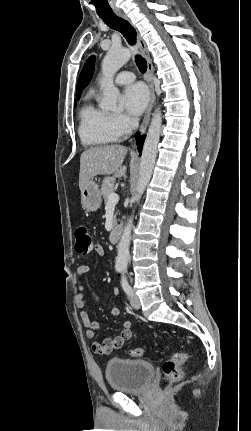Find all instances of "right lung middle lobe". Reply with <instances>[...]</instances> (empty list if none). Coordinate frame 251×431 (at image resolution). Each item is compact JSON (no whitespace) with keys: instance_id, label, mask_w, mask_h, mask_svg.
Masks as SVG:
<instances>
[{"instance_id":"dd1d6c3e","label":"right lung middle lobe","mask_w":251,"mask_h":431,"mask_svg":"<svg viewBox=\"0 0 251 431\" xmlns=\"http://www.w3.org/2000/svg\"><path fill=\"white\" fill-rule=\"evenodd\" d=\"M76 100H78V99H76ZM74 105H76V101L74 102Z\"/></svg>"}]
</instances>
